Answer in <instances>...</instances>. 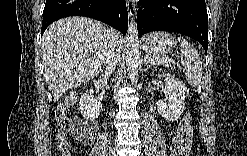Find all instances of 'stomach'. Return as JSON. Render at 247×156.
<instances>
[{
    "mask_svg": "<svg viewBox=\"0 0 247 156\" xmlns=\"http://www.w3.org/2000/svg\"><path fill=\"white\" fill-rule=\"evenodd\" d=\"M175 44L174 37L167 32H154L145 37L143 48L150 56H162Z\"/></svg>",
    "mask_w": 247,
    "mask_h": 156,
    "instance_id": "stomach-1",
    "label": "stomach"
}]
</instances>
